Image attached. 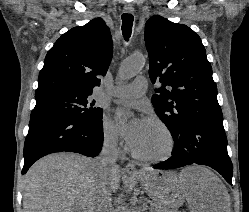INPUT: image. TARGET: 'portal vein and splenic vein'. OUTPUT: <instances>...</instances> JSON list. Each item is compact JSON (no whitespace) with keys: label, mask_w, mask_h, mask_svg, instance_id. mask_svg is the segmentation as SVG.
Listing matches in <instances>:
<instances>
[{"label":"portal vein and splenic vein","mask_w":249,"mask_h":212,"mask_svg":"<svg viewBox=\"0 0 249 212\" xmlns=\"http://www.w3.org/2000/svg\"><path fill=\"white\" fill-rule=\"evenodd\" d=\"M151 212H157V210H151Z\"/></svg>","instance_id":"obj_1"}]
</instances>
